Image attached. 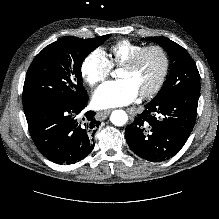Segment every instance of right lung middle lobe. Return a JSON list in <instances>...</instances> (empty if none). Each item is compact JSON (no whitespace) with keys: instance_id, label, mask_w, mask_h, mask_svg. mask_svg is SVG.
Segmentation results:
<instances>
[{"instance_id":"obj_1","label":"right lung middle lobe","mask_w":219,"mask_h":219,"mask_svg":"<svg viewBox=\"0 0 219 219\" xmlns=\"http://www.w3.org/2000/svg\"><path fill=\"white\" fill-rule=\"evenodd\" d=\"M110 34L91 39L64 37L45 47L30 65L23 88V107L27 110L42 102L87 97L82 84L84 58L107 40Z\"/></svg>"}]
</instances>
